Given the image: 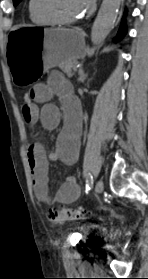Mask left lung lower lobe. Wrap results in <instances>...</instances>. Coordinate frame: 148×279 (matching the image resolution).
Returning a JSON list of instances; mask_svg holds the SVG:
<instances>
[{
	"label": "left lung lower lobe",
	"mask_w": 148,
	"mask_h": 279,
	"mask_svg": "<svg viewBox=\"0 0 148 279\" xmlns=\"http://www.w3.org/2000/svg\"><path fill=\"white\" fill-rule=\"evenodd\" d=\"M125 33H126V26L122 25L117 34L116 40H119L120 38H122L125 35Z\"/></svg>",
	"instance_id": "left-lung-lower-lobe-1"
}]
</instances>
